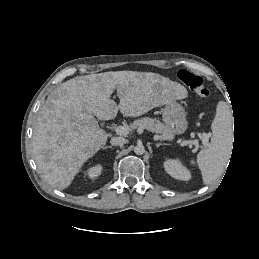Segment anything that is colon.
Wrapping results in <instances>:
<instances>
[{
	"instance_id": "5ec220e1",
	"label": "colon",
	"mask_w": 259,
	"mask_h": 259,
	"mask_svg": "<svg viewBox=\"0 0 259 259\" xmlns=\"http://www.w3.org/2000/svg\"><path fill=\"white\" fill-rule=\"evenodd\" d=\"M177 76L179 80L191 91L195 92L197 96L202 99H206L208 97L209 91L205 87L202 77L192 73L187 69L179 70Z\"/></svg>"
}]
</instances>
